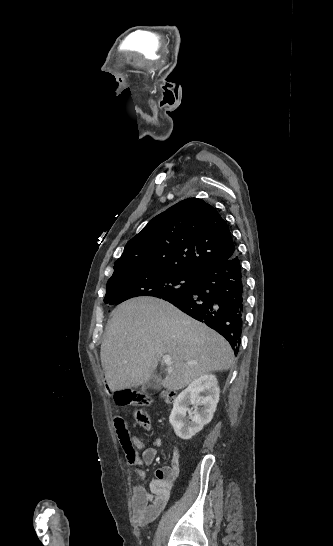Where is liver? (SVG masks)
<instances>
[{
    "instance_id": "1",
    "label": "liver",
    "mask_w": 333,
    "mask_h": 546,
    "mask_svg": "<svg viewBox=\"0 0 333 546\" xmlns=\"http://www.w3.org/2000/svg\"><path fill=\"white\" fill-rule=\"evenodd\" d=\"M165 354L172 363L162 385L174 390L234 362L221 335L161 299L134 298L115 308L100 352L112 392L148 382Z\"/></svg>"
}]
</instances>
